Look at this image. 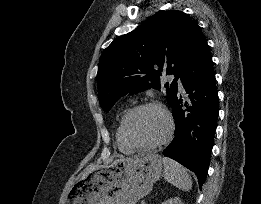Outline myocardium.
Segmentation results:
<instances>
[{"instance_id":"obj_1","label":"myocardium","mask_w":261,"mask_h":204,"mask_svg":"<svg viewBox=\"0 0 261 204\" xmlns=\"http://www.w3.org/2000/svg\"><path fill=\"white\" fill-rule=\"evenodd\" d=\"M146 108H153L156 109L157 111L160 112V114L163 116L164 121H165V131L163 135L161 136L160 139L157 141L146 144V145H141L133 142L128 134H127V123L129 119L138 111L146 109ZM173 131V119L170 114V112L167 110L166 107H164L162 104L156 101H146L142 102L140 104L135 105L134 107L130 108L123 116L121 123H120V133L123 141L125 142L126 145H128L130 148L133 150L137 151H149L156 149L163 145L164 143L167 142V140L170 138L171 134Z\"/></svg>"}]
</instances>
